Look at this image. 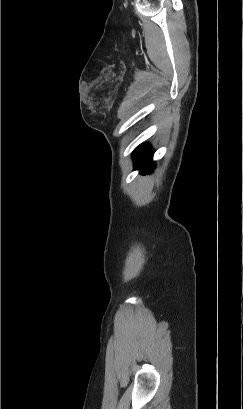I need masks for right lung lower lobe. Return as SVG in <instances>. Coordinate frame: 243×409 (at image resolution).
<instances>
[{
    "label": "right lung lower lobe",
    "instance_id": "right-lung-lower-lobe-1",
    "mask_svg": "<svg viewBox=\"0 0 243 409\" xmlns=\"http://www.w3.org/2000/svg\"><path fill=\"white\" fill-rule=\"evenodd\" d=\"M154 151L149 144L138 146L134 151L135 169H141L142 174H148L154 169L151 161Z\"/></svg>",
    "mask_w": 243,
    "mask_h": 409
}]
</instances>
